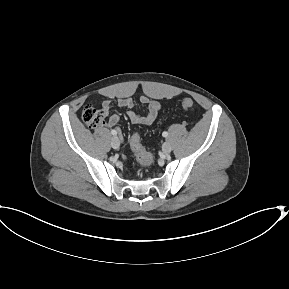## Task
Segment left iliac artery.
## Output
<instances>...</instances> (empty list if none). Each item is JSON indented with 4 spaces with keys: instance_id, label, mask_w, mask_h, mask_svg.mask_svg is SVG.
Wrapping results in <instances>:
<instances>
[{
    "instance_id": "left-iliac-artery-1",
    "label": "left iliac artery",
    "mask_w": 289,
    "mask_h": 289,
    "mask_svg": "<svg viewBox=\"0 0 289 289\" xmlns=\"http://www.w3.org/2000/svg\"><path fill=\"white\" fill-rule=\"evenodd\" d=\"M162 136H163V137H167V136H168V132L164 131V132L162 133Z\"/></svg>"
}]
</instances>
